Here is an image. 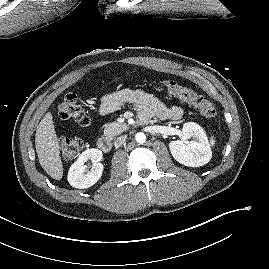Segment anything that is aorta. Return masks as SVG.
I'll return each instance as SVG.
<instances>
[{
  "label": "aorta",
  "mask_w": 269,
  "mask_h": 269,
  "mask_svg": "<svg viewBox=\"0 0 269 269\" xmlns=\"http://www.w3.org/2000/svg\"><path fill=\"white\" fill-rule=\"evenodd\" d=\"M135 139L138 143L143 144L146 141V135L142 132L136 134Z\"/></svg>",
  "instance_id": "obj_1"
}]
</instances>
